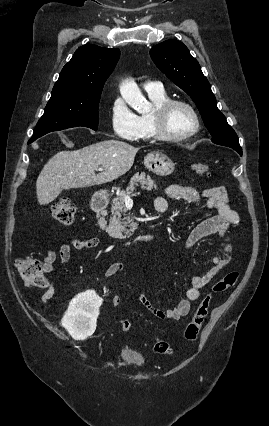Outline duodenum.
Segmentation results:
<instances>
[{
    "instance_id": "410a0bca",
    "label": "duodenum",
    "mask_w": 269,
    "mask_h": 426,
    "mask_svg": "<svg viewBox=\"0 0 269 426\" xmlns=\"http://www.w3.org/2000/svg\"><path fill=\"white\" fill-rule=\"evenodd\" d=\"M109 203V196L103 192V191H99L97 192L91 201V207L93 209V211L96 213V215L101 219H103V212L106 208V206ZM164 209H160V213L164 212ZM152 236L151 235H142L139 236L136 240L137 241H149L151 240Z\"/></svg>"
}]
</instances>
